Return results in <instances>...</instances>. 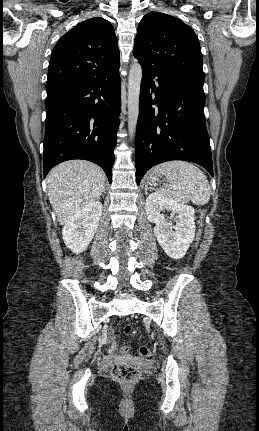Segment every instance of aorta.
<instances>
[{"mask_svg": "<svg viewBox=\"0 0 259 431\" xmlns=\"http://www.w3.org/2000/svg\"><path fill=\"white\" fill-rule=\"evenodd\" d=\"M142 79V67L135 63L129 72L128 79V131L133 137L139 115V94Z\"/></svg>", "mask_w": 259, "mask_h": 431, "instance_id": "obj_1", "label": "aorta"}]
</instances>
